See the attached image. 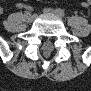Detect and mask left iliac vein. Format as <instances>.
<instances>
[{
	"instance_id": "4c4485c4",
	"label": "left iliac vein",
	"mask_w": 91,
	"mask_h": 91,
	"mask_svg": "<svg viewBox=\"0 0 91 91\" xmlns=\"http://www.w3.org/2000/svg\"><path fill=\"white\" fill-rule=\"evenodd\" d=\"M44 12H45V13H49V14H53V15H56V16L61 17V16L57 13L56 10L51 9V8H45V9H44Z\"/></svg>"
}]
</instances>
